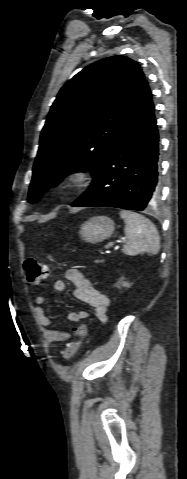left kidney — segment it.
<instances>
[{
	"mask_svg": "<svg viewBox=\"0 0 187 479\" xmlns=\"http://www.w3.org/2000/svg\"><path fill=\"white\" fill-rule=\"evenodd\" d=\"M122 285H123L124 287H129V284H128L127 282H123Z\"/></svg>",
	"mask_w": 187,
	"mask_h": 479,
	"instance_id": "5707ae66",
	"label": "left kidney"
}]
</instances>
